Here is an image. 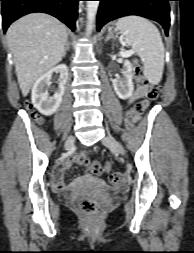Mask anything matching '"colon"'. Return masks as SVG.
<instances>
[{
    "instance_id": "1",
    "label": "colon",
    "mask_w": 194,
    "mask_h": 253,
    "mask_svg": "<svg viewBox=\"0 0 194 253\" xmlns=\"http://www.w3.org/2000/svg\"><path fill=\"white\" fill-rule=\"evenodd\" d=\"M134 73L138 79H141V83H144L148 86L149 91L147 98L138 102L133 107L125 110V120H123V125H127L129 128L132 127L133 118L137 115H141L149 106V104L156 100L160 95V86L157 84H150L151 78H143L142 67L139 64L134 65ZM27 107H30V104L27 103ZM37 121H40L39 117H35ZM74 161L84 166L88 173L93 175H100L103 171L102 164L98 160H90L86 153L78 152L74 155ZM109 180L112 184H119L123 180V175L120 172H114L110 175ZM77 206L84 212L89 214H97L101 211L102 206L99 201L86 199L80 197L77 199Z\"/></svg>"
}]
</instances>
